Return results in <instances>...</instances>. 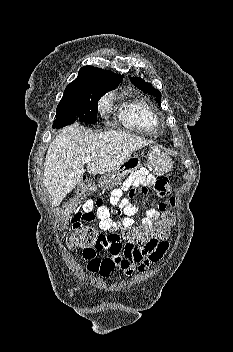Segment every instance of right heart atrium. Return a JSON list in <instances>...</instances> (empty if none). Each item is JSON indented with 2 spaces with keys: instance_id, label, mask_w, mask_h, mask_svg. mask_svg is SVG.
I'll use <instances>...</instances> for the list:
<instances>
[{
  "instance_id": "d8ad5b80",
  "label": "right heart atrium",
  "mask_w": 233,
  "mask_h": 352,
  "mask_svg": "<svg viewBox=\"0 0 233 352\" xmlns=\"http://www.w3.org/2000/svg\"><path fill=\"white\" fill-rule=\"evenodd\" d=\"M110 107V100L108 97H103L100 101H99V111L101 113H104L105 111H107Z\"/></svg>"
}]
</instances>
